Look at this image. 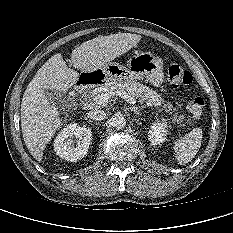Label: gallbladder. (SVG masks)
<instances>
[{"mask_svg":"<svg viewBox=\"0 0 233 233\" xmlns=\"http://www.w3.org/2000/svg\"><path fill=\"white\" fill-rule=\"evenodd\" d=\"M44 94L49 102H51L58 110H66L69 108L71 101L63 92L48 89L45 90Z\"/></svg>","mask_w":233,"mask_h":233,"instance_id":"obj_1","label":"gallbladder"}]
</instances>
